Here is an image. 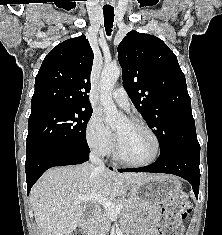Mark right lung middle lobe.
<instances>
[{"mask_svg": "<svg viewBox=\"0 0 222 235\" xmlns=\"http://www.w3.org/2000/svg\"><path fill=\"white\" fill-rule=\"evenodd\" d=\"M91 108L55 105L31 114L26 139V160L37 154L59 148L90 151L86 126Z\"/></svg>", "mask_w": 222, "mask_h": 235, "instance_id": "right-lung-middle-lobe-1", "label": "right lung middle lobe"}]
</instances>
